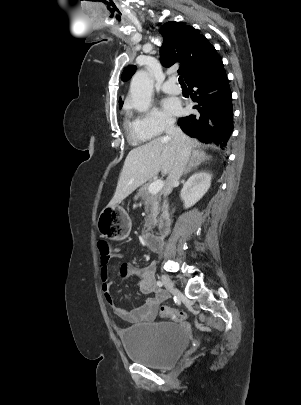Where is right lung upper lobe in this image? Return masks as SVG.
Listing matches in <instances>:
<instances>
[{
    "label": "right lung upper lobe",
    "mask_w": 301,
    "mask_h": 405,
    "mask_svg": "<svg viewBox=\"0 0 301 405\" xmlns=\"http://www.w3.org/2000/svg\"><path fill=\"white\" fill-rule=\"evenodd\" d=\"M163 45L160 50L164 66L169 67L180 62L178 72L184 76L186 83L193 77L213 67L221 57L207 38L192 26L181 22H167L161 29ZM135 66L127 67L122 73V80H128L135 72ZM122 101H119L120 108Z\"/></svg>",
    "instance_id": "obj_1"
}]
</instances>
